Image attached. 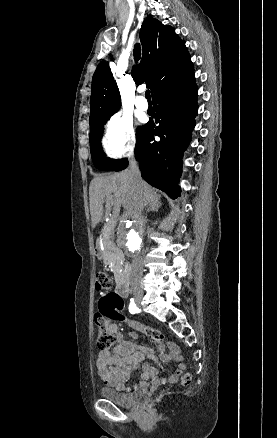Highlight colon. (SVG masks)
Instances as JSON below:
<instances>
[{
    "label": "colon",
    "mask_w": 277,
    "mask_h": 438,
    "mask_svg": "<svg viewBox=\"0 0 277 438\" xmlns=\"http://www.w3.org/2000/svg\"><path fill=\"white\" fill-rule=\"evenodd\" d=\"M111 278L104 272L98 271L95 274V291L96 293H101L105 290H108V284H111ZM117 284V283H116ZM109 315L106 314L104 317H101L99 313L95 314V325L99 329H104L105 324L109 321L107 318ZM145 335L154 340L156 343L164 341L163 333L152 327L142 328ZM116 342V336L106 330H101L96 337V346L99 350H107L114 345ZM192 380L191 373H185L181 377V383L183 385H188ZM151 396L153 398H162L164 396V391L162 389H153L151 391Z\"/></svg>",
    "instance_id": "obj_1"
}]
</instances>
